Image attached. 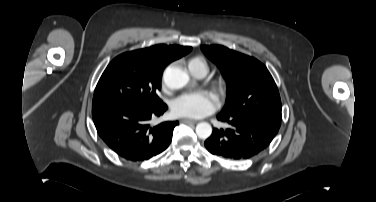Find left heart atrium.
<instances>
[{
  "label": "left heart atrium",
  "mask_w": 376,
  "mask_h": 202,
  "mask_svg": "<svg viewBox=\"0 0 376 202\" xmlns=\"http://www.w3.org/2000/svg\"><path fill=\"white\" fill-rule=\"evenodd\" d=\"M217 98L208 91L184 93L177 97L171 106L172 113L178 117L201 118L218 108Z\"/></svg>",
  "instance_id": "1"
}]
</instances>
